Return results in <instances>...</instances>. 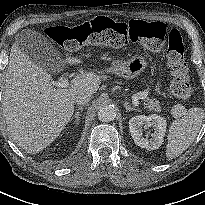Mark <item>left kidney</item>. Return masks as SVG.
<instances>
[{
  "mask_svg": "<svg viewBox=\"0 0 205 205\" xmlns=\"http://www.w3.org/2000/svg\"><path fill=\"white\" fill-rule=\"evenodd\" d=\"M154 128L150 138L143 136V128ZM166 119L156 114L145 116L139 115L129 120V129L136 145L147 150H156L162 143L166 132Z\"/></svg>",
  "mask_w": 205,
  "mask_h": 205,
  "instance_id": "5707ae66",
  "label": "left kidney"
}]
</instances>
